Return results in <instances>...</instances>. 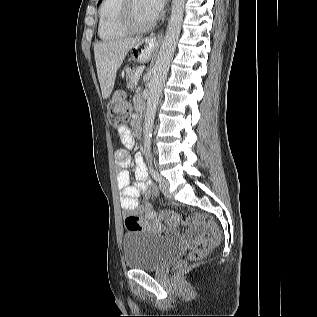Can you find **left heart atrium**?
<instances>
[{
  "label": "left heart atrium",
  "mask_w": 317,
  "mask_h": 317,
  "mask_svg": "<svg viewBox=\"0 0 317 317\" xmlns=\"http://www.w3.org/2000/svg\"><path fill=\"white\" fill-rule=\"evenodd\" d=\"M166 0H146L147 7L152 14L153 19L156 18L165 5Z\"/></svg>",
  "instance_id": "obj_1"
}]
</instances>
